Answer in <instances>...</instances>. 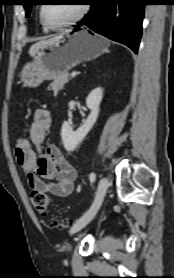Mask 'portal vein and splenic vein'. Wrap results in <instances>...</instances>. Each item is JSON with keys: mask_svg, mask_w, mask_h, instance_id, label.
Returning a JSON list of instances; mask_svg holds the SVG:
<instances>
[{"mask_svg": "<svg viewBox=\"0 0 174 278\" xmlns=\"http://www.w3.org/2000/svg\"><path fill=\"white\" fill-rule=\"evenodd\" d=\"M76 75H77V72H76V71H74V72L71 73V77H76Z\"/></svg>", "mask_w": 174, "mask_h": 278, "instance_id": "portal-vein-and-splenic-vein-1", "label": "portal vein and splenic vein"}]
</instances>
